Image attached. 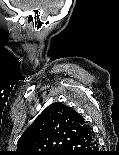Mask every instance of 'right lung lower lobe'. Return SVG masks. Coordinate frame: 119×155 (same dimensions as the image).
<instances>
[{
	"label": "right lung lower lobe",
	"mask_w": 119,
	"mask_h": 155,
	"mask_svg": "<svg viewBox=\"0 0 119 155\" xmlns=\"http://www.w3.org/2000/svg\"><path fill=\"white\" fill-rule=\"evenodd\" d=\"M59 155H97V142L91 128L68 143Z\"/></svg>",
	"instance_id": "right-lung-lower-lobe-1"
}]
</instances>
